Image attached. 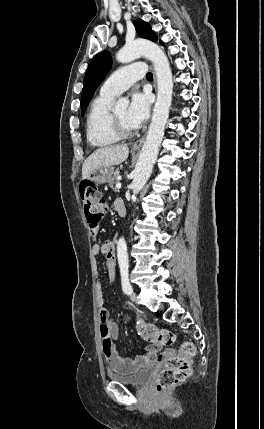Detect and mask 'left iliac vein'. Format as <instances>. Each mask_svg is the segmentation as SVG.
<instances>
[{
	"mask_svg": "<svg viewBox=\"0 0 264 429\" xmlns=\"http://www.w3.org/2000/svg\"><path fill=\"white\" fill-rule=\"evenodd\" d=\"M130 298H131V300H132L133 302H136V300H137V295H136V293H135V292H131V294H130Z\"/></svg>",
	"mask_w": 264,
	"mask_h": 429,
	"instance_id": "4c4485c4",
	"label": "left iliac vein"
}]
</instances>
